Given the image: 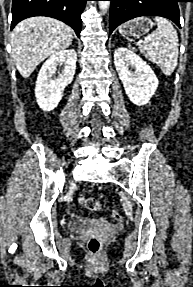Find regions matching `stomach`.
<instances>
[{"label":"stomach","mask_w":193,"mask_h":287,"mask_svg":"<svg viewBox=\"0 0 193 287\" xmlns=\"http://www.w3.org/2000/svg\"><path fill=\"white\" fill-rule=\"evenodd\" d=\"M152 27L153 22L150 19L141 17L125 23L120 27L119 31L123 35L140 37L148 33Z\"/></svg>","instance_id":"obj_1"}]
</instances>
